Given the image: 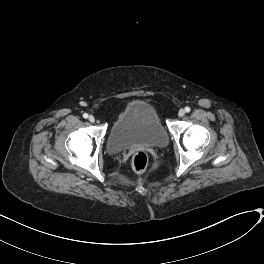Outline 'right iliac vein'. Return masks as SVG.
I'll list each match as a JSON object with an SVG mask.
<instances>
[{
	"mask_svg": "<svg viewBox=\"0 0 264 264\" xmlns=\"http://www.w3.org/2000/svg\"><path fill=\"white\" fill-rule=\"evenodd\" d=\"M95 120H96V119H95V117H94L93 115H90V116H89V121H90V122L93 123V122H95Z\"/></svg>",
	"mask_w": 264,
	"mask_h": 264,
	"instance_id": "1",
	"label": "right iliac vein"
}]
</instances>
